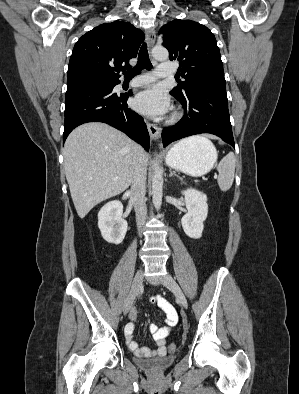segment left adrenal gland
Segmentation results:
<instances>
[{"label": "left adrenal gland", "instance_id": "obj_1", "mask_svg": "<svg viewBox=\"0 0 299 394\" xmlns=\"http://www.w3.org/2000/svg\"><path fill=\"white\" fill-rule=\"evenodd\" d=\"M169 171H170L169 177L175 176V177H177L178 179L181 180V178L176 173L172 172L171 169Z\"/></svg>", "mask_w": 299, "mask_h": 394}]
</instances>
